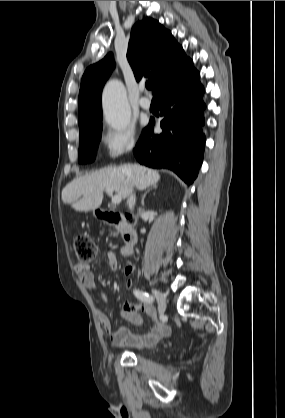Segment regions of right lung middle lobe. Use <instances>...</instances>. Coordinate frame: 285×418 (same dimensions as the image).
I'll return each instance as SVG.
<instances>
[{
    "instance_id": "dd1d6c3e",
    "label": "right lung middle lobe",
    "mask_w": 285,
    "mask_h": 418,
    "mask_svg": "<svg viewBox=\"0 0 285 418\" xmlns=\"http://www.w3.org/2000/svg\"><path fill=\"white\" fill-rule=\"evenodd\" d=\"M79 163H90L95 159L102 133V117L79 126Z\"/></svg>"
}]
</instances>
